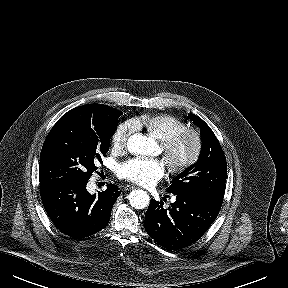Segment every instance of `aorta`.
I'll return each mask as SVG.
<instances>
[{
    "label": "aorta",
    "mask_w": 288,
    "mask_h": 288,
    "mask_svg": "<svg viewBox=\"0 0 288 288\" xmlns=\"http://www.w3.org/2000/svg\"><path fill=\"white\" fill-rule=\"evenodd\" d=\"M127 148L132 154L148 156L154 153L157 143L154 139L138 133L128 139ZM129 202L133 208L143 209L149 205L150 197L146 191L133 190L129 194Z\"/></svg>",
    "instance_id": "obj_1"
}]
</instances>
